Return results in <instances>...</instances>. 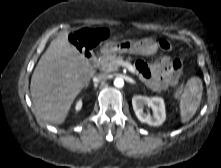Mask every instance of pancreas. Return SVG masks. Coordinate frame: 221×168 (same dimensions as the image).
<instances>
[{
  "instance_id": "1",
  "label": "pancreas",
  "mask_w": 221,
  "mask_h": 168,
  "mask_svg": "<svg viewBox=\"0 0 221 168\" xmlns=\"http://www.w3.org/2000/svg\"><path fill=\"white\" fill-rule=\"evenodd\" d=\"M130 60L131 58L129 57L127 61ZM117 61H123V57L116 54L103 55L100 58L98 65L102 71L112 72L118 69V65L116 64ZM175 96L177 97V94Z\"/></svg>"
}]
</instances>
